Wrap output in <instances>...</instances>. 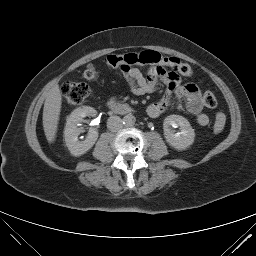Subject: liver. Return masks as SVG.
Instances as JSON below:
<instances>
[{
  "label": "liver",
  "mask_w": 256,
  "mask_h": 256,
  "mask_svg": "<svg viewBox=\"0 0 256 256\" xmlns=\"http://www.w3.org/2000/svg\"><path fill=\"white\" fill-rule=\"evenodd\" d=\"M61 104V91L56 84L48 92L43 108V128L49 143L56 139Z\"/></svg>",
  "instance_id": "obj_1"
}]
</instances>
